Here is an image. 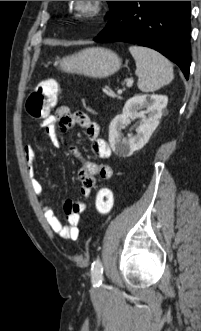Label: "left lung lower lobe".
<instances>
[{"label": "left lung lower lobe", "mask_w": 201, "mask_h": 331, "mask_svg": "<svg viewBox=\"0 0 201 331\" xmlns=\"http://www.w3.org/2000/svg\"><path fill=\"white\" fill-rule=\"evenodd\" d=\"M190 1H121L94 41H122L157 50L189 77Z\"/></svg>", "instance_id": "left-lung-lower-lobe-1"}]
</instances>
